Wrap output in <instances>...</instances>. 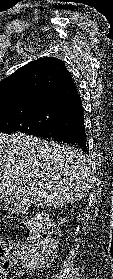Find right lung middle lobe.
Instances as JSON below:
<instances>
[{"label": "right lung middle lobe", "instance_id": "dd1d6c3e", "mask_svg": "<svg viewBox=\"0 0 113 279\" xmlns=\"http://www.w3.org/2000/svg\"><path fill=\"white\" fill-rule=\"evenodd\" d=\"M67 113L68 111L49 107L1 109L0 133L32 134L40 128L59 122Z\"/></svg>", "mask_w": 113, "mask_h": 279}]
</instances>
